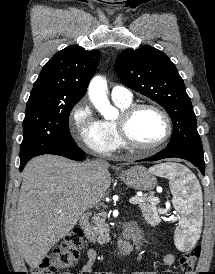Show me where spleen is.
Masks as SVG:
<instances>
[{
	"label": "spleen",
	"mask_w": 215,
	"mask_h": 274,
	"mask_svg": "<svg viewBox=\"0 0 215 274\" xmlns=\"http://www.w3.org/2000/svg\"><path fill=\"white\" fill-rule=\"evenodd\" d=\"M150 172L169 179L173 195L172 203L180 213L175 229V242L184 246L194 244L201 232L202 191L195 175L185 166L176 163H163L150 168Z\"/></svg>",
	"instance_id": "3e777b00"
}]
</instances>
